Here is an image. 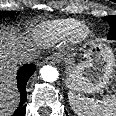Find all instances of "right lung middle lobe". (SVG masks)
Listing matches in <instances>:
<instances>
[{"label":"right lung middle lobe","instance_id":"dd1d6c3e","mask_svg":"<svg viewBox=\"0 0 116 116\" xmlns=\"http://www.w3.org/2000/svg\"><path fill=\"white\" fill-rule=\"evenodd\" d=\"M15 15V12L14 11H0V18H3V17H13Z\"/></svg>","mask_w":116,"mask_h":116}]
</instances>
